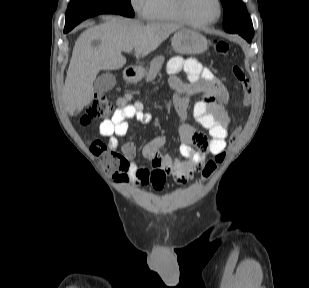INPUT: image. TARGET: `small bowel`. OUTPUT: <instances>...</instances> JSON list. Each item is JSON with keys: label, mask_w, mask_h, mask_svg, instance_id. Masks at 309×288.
<instances>
[{"label": "small bowel", "mask_w": 309, "mask_h": 288, "mask_svg": "<svg viewBox=\"0 0 309 288\" xmlns=\"http://www.w3.org/2000/svg\"><path fill=\"white\" fill-rule=\"evenodd\" d=\"M167 69L171 75L170 84L177 91L174 109L181 142L179 152L184 160H175L170 155L160 153L166 142L164 136L154 137L143 148V155L153 165L152 170L137 165L134 143L127 142L121 148L127 162L126 170L134 183L138 186L150 185L155 191L164 188L168 175L181 184L193 179L194 175L202 170L207 154L224 151L230 126L226 110L227 92L206 67L193 58L184 60L173 57ZM181 70L186 72L189 82H182L175 76ZM193 95H199L193 106L194 117L199 125L209 131V139L186 123L188 104ZM117 105L112 117L99 126V134L107 139L112 150L118 147V137L128 134L129 119L141 123H149L153 119L151 113L143 110L140 102L129 103L128 96L118 98Z\"/></svg>", "instance_id": "1"}]
</instances>
